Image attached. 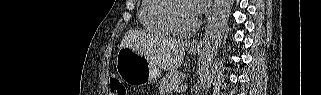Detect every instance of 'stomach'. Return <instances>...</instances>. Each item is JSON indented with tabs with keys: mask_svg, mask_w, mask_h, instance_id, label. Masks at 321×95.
Masks as SVG:
<instances>
[{
	"mask_svg": "<svg viewBox=\"0 0 321 95\" xmlns=\"http://www.w3.org/2000/svg\"><path fill=\"white\" fill-rule=\"evenodd\" d=\"M199 49L190 48L189 53L196 54ZM116 71L120 78L129 84L146 85L157 80L159 67L139 52L131 48H120L116 58Z\"/></svg>",
	"mask_w": 321,
	"mask_h": 95,
	"instance_id": "stomach-1",
	"label": "stomach"
}]
</instances>
